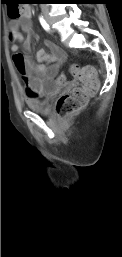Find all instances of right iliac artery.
Segmentation results:
<instances>
[{
  "instance_id": "1",
  "label": "right iliac artery",
  "mask_w": 122,
  "mask_h": 257,
  "mask_svg": "<svg viewBox=\"0 0 122 257\" xmlns=\"http://www.w3.org/2000/svg\"><path fill=\"white\" fill-rule=\"evenodd\" d=\"M39 20H40V23H41L42 27H43L46 31H49V25H48V23L44 20V18H43L42 16H40Z\"/></svg>"
}]
</instances>
